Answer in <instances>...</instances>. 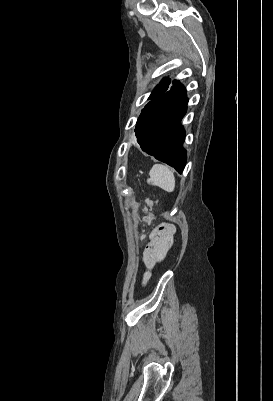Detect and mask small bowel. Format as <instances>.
I'll return each mask as SVG.
<instances>
[{
	"label": "small bowel",
	"mask_w": 273,
	"mask_h": 401,
	"mask_svg": "<svg viewBox=\"0 0 273 401\" xmlns=\"http://www.w3.org/2000/svg\"><path fill=\"white\" fill-rule=\"evenodd\" d=\"M141 221H144L145 223H150L152 221V218L150 216H145L144 218H141ZM156 231L157 229L150 234L149 243L144 251V262L147 266H152L155 262L162 259L167 253L171 243V241H154L153 233ZM149 277L150 274L148 272L145 273L143 281L147 282Z\"/></svg>",
	"instance_id": "1"
}]
</instances>
